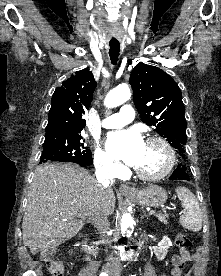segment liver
I'll list each match as a JSON object with an SVG mask.
<instances>
[{
    "label": "liver",
    "instance_id": "1",
    "mask_svg": "<svg viewBox=\"0 0 221 276\" xmlns=\"http://www.w3.org/2000/svg\"><path fill=\"white\" fill-rule=\"evenodd\" d=\"M95 209L109 216L115 194L75 164L46 163L39 166L30 184L22 222L23 243L32 254L56 248L74 237Z\"/></svg>",
    "mask_w": 221,
    "mask_h": 276
}]
</instances>
